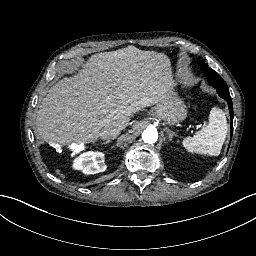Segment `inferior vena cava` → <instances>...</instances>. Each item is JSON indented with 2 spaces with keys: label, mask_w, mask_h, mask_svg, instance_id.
<instances>
[{
  "label": "inferior vena cava",
  "mask_w": 256,
  "mask_h": 256,
  "mask_svg": "<svg viewBox=\"0 0 256 256\" xmlns=\"http://www.w3.org/2000/svg\"><path fill=\"white\" fill-rule=\"evenodd\" d=\"M118 134H120V129H110L108 132L102 133L101 138L103 139L115 138Z\"/></svg>",
  "instance_id": "1"
}]
</instances>
